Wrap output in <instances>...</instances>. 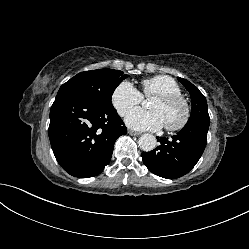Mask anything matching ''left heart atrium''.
Returning a JSON list of instances; mask_svg holds the SVG:
<instances>
[{"mask_svg": "<svg viewBox=\"0 0 249 249\" xmlns=\"http://www.w3.org/2000/svg\"><path fill=\"white\" fill-rule=\"evenodd\" d=\"M125 122L128 127L135 130H159L164 126L161 115L154 110L135 108L127 115Z\"/></svg>", "mask_w": 249, "mask_h": 249, "instance_id": "obj_1", "label": "left heart atrium"}]
</instances>
